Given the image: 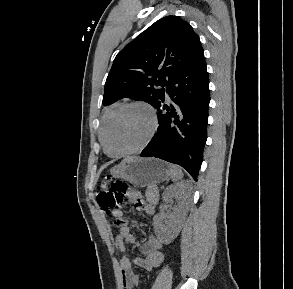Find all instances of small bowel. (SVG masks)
Wrapping results in <instances>:
<instances>
[{"instance_id":"obj_1","label":"small bowel","mask_w":293,"mask_h":289,"mask_svg":"<svg viewBox=\"0 0 293 289\" xmlns=\"http://www.w3.org/2000/svg\"><path fill=\"white\" fill-rule=\"evenodd\" d=\"M135 204L140 207L147 215H153L155 208L151 204H145L140 200L139 195L131 194ZM112 215L116 221L123 223L124 215L121 210H114ZM121 223V224H122ZM136 242V235L128 224L120 227V230L115 238L116 246L125 251L126 244H134ZM163 244L155 236L151 235L148 241L139 245L141 256L131 260L128 256L124 255L121 259V276L125 289H134L138 283V275L133 271L132 265L135 264L143 269L151 270L162 264L164 261V253L162 252Z\"/></svg>"}]
</instances>
